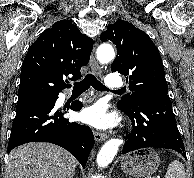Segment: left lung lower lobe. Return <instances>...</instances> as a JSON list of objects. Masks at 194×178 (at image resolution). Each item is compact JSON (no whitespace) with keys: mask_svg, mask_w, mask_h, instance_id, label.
<instances>
[{"mask_svg":"<svg viewBox=\"0 0 194 178\" xmlns=\"http://www.w3.org/2000/svg\"><path fill=\"white\" fill-rule=\"evenodd\" d=\"M119 108V107H118ZM133 123L122 154L148 147L173 149L187 160L170 98L137 96L130 109H122Z\"/></svg>","mask_w":194,"mask_h":178,"instance_id":"1","label":"left lung lower lobe"}]
</instances>
